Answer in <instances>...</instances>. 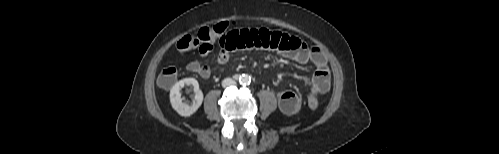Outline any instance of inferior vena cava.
<instances>
[{
  "mask_svg": "<svg viewBox=\"0 0 499 154\" xmlns=\"http://www.w3.org/2000/svg\"><path fill=\"white\" fill-rule=\"evenodd\" d=\"M236 82L232 79V78H225L223 81H222V86L225 88V87H228V86H231V85H235Z\"/></svg>",
  "mask_w": 499,
  "mask_h": 154,
  "instance_id": "602c4592",
  "label": "inferior vena cava"
}]
</instances>
